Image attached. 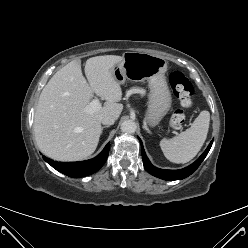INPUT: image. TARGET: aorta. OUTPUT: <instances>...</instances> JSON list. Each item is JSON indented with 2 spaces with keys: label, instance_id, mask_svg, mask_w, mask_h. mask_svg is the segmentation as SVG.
<instances>
[{
  "label": "aorta",
  "instance_id": "1",
  "mask_svg": "<svg viewBox=\"0 0 248 248\" xmlns=\"http://www.w3.org/2000/svg\"><path fill=\"white\" fill-rule=\"evenodd\" d=\"M137 125L133 120H126L121 124V130L125 133H134Z\"/></svg>",
  "mask_w": 248,
  "mask_h": 248
}]
</instances>
